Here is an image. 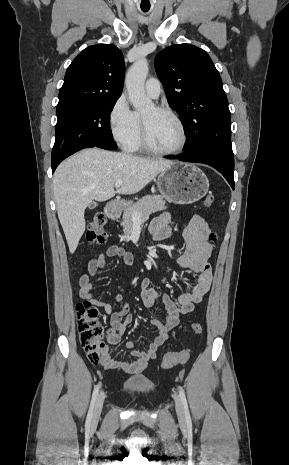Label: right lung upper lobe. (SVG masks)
<instances>
[{"label":"right lung upper lobe","mask_w":289,"mask_h":465,"mask_svg":"<svg viewBox=\"0 0 289 465\" xmlns=\"http://www.w3.org/2000/svg\"><path fill=\"white\" fill-rule=\"evenodd\" d=\"M124 59L114 45L87 47L68 67L57 108L118 99L122 92Z\"/></svg>","instance_id":"cb5924a9"}]
</instances>
